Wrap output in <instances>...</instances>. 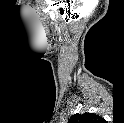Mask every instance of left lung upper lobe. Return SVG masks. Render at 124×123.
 <instances>
[{"instance_id":"5c2ea615","label":"left lung upper lobe","mask_w":124,"mask_h":123,"mask_svg":"<svg viewBox=\"0 0 124 123\" xmlns=\"http://www.w3.org/2000/svg\"><path fill=\"white\" fill-rule=\"evenodd\" d=\"M100 117L94 113H84L73 115L68 123H96Z\"/></svg>"}]
</instances>
